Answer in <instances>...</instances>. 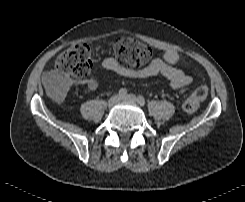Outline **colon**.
Returning <instances> with one entry per match:
<instances>
[{
  "instance_id": "obj_1",
  "label": "colon",
  "mask_w": 245,
  "mask_h": 202,
  "mask_svg": "<svg viewBox=\"0 0 245 202\" xmlns=\"http://www.w3.org/2000/svg\"><path fill=\"white\" fill-rule=\"evenodd\" d=\"M114 53L123 66L138 67L152 56L151 48L132 35H123L114 42ZM90 47L86 43H77L60 53L53 62V69L59 76L83 79L91 71ZM209 87L202 85L196 88L183 103V111L194 113L200 103L208 96Z\"/></svg>"
}]
</instances>
